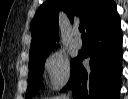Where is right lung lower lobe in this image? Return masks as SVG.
<instances>
[{
  "label": "right lung lower lobe",
  "mask_w": 128,
  "mask_h": 99,
  "mask_svg": "<svg viewBox=\"0 0 128 99\" xmlns=\"http://www.w3.org/2000/svg\"><path fill=\"white\" fill-rule=\"evenodd\" d=\"M87 35L89 47L75 58L66 87L73 90L74 99H119L122 31L116 4L88 28ZM87 57L86 69L82 61Z\"/></svg>",
  "instance_id": "right-lung-lower-lobe-1"
}]
</instances>
